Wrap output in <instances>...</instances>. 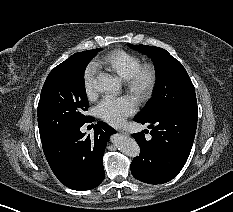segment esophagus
I'll list each match as a JSON object with an SVG mask.
<instances>
[{"instance_id": "1", "label": "esophagus", "mask_w": 233, "mask_h": 212, "mask_svg": "<svg viewBox=\"0 0 233 212\" xmlns=\"http://www.w3.org/2000/svg\"><path fill=\"white\" fill-rule=\"evenodd\" d=\"M119 132L121 133V134H123V135H129V133L127 132V131H125V130H119Z\"/></svg>"}]
</instances>
